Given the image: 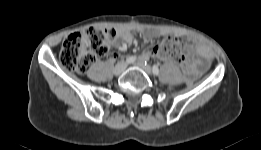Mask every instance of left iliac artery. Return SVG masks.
Segmentation results:
<instances>
[{"instance_id": "left-iliac-artery-1", "label": "left iliac artery", "mask_w": 261, "mask_h": 150, "mask_svg": "<svg viewBox=\"0 0 261 150\" xmlns=\"http://www.w3.org/2000/svg\"><path fill=\"white\" fill-rule=\"evenodd\" d=\"M145 65H146V61H145ZM152 72H153L154 75H158V74H159V68H158V66L153 65V67H152Z\"/></svg>"}]
</instances>
